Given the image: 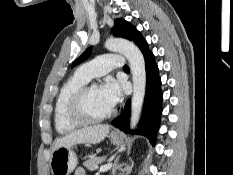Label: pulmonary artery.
Masks as SVG:
<instances>
[{
  "mask_svg": "<svg viewBox=\"0 0 233 175\" xmlns=\"http://www.w3.org/2000/svg\"><path fill=\"white\" fill-rule=\"evenodd\" d=\"M125 57L118 54H104L91 61L82 64L76 71V75L91 80L94 77H100L113 69L124 67Z\"/></svg>",
  "mask_w": 233,
  "mask_h": 175,
  "instance_id": "1",
  "label": "pulmonary artery"
}]
</instances>
